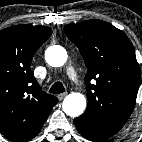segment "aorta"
Listing matches in <instances>:
<instances>
[{"label": "aorta", "mask_w": 142, "mask_h": 142, "mask_svg": "<svg viewBox=\"0 0 142 142\" xmlns=\"http://www.w3.org/2000/svg\"><path fill=\"white\" fill-rule=\"evenodd\" d=\"M45 60L52 67H61L67 61V51L60 45H52L45 51ZM86 108V98L81 93H71L65 97L62 109L70 117L80 116Z\"/></svg>", "instance_id": "obj_1"}]
</instances>
